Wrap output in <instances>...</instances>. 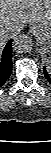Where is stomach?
<instances>
[{"instance_id":"0dacf381","label":"stomach","mask_w":51,"mask_h":153,"mask_svg":"<svg viewBox=\"0 0 51 153\" xmlns=\"http://www.w3.org/2000/svg\"><path fill=\"white\" fill-rule=\"evenodd\" d=\"M33 32L38 38L43 53L48 54L51 50V24L42 25L35 24L33 26Z\"/></svg>"}]
</instances>
